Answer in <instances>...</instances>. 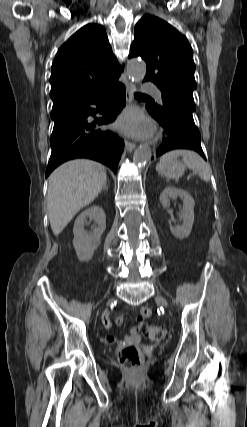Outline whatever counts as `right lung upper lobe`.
<instances>
[{
	"label": "right lung upper lobe",
	"instance_id": "obj_1",
	"mask_svg": "<svg viewBox=\"0 0 247 427\" xmlns=\"http://www.w3.org/2000/svg\"><path fill=\"white\" fill-rule=\"evenodd\" d=\"M123 71L105 29L87 24L58 50L51 69L53 107L92 99L118 82Z\"/></svg>",
	"mask_w": 247,
	"mask_h": 427
}]
</instances>
